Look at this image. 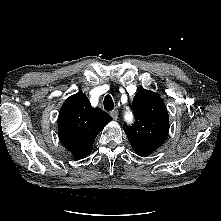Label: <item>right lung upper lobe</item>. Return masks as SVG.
Returning a JSON list of instances; mask_svg holds the SVG:
<instances>
[{"mask_svg":"<svg viewBox=\"0 0 221 221\" xmlns=\"http://www.w3.org/2000/svg\"><path fill=\"white\" fill-rule=\"evenodd\" d=\"M112 120L100 108H93L85 94L70 96L62 105L58 117V136L61 143L77 159L90 154L96 136Z\"/></svg>","mask_w":221,"mask_h":221,"instance_id":"cb5924a9","label":"right lung upper lobe"}]
</instances>
